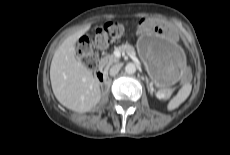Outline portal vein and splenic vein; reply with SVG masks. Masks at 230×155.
<instances>
[{"instance_id": "1", "label": "portal vein and splenic vein", "mask_w": 230, "mask_h": 155, "mask_svg": "<svg viewBox=\"0 0 230 155\" xmlns=\"http://www.w3.org/2000/svg\"><path fill=\"white\" fill-rule=\"evenodd\" d=\"M134 59L137 61V58L134 57ZM165 95L164 94H161V98H164Z\"/></svg>"}]
</instances>
